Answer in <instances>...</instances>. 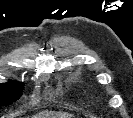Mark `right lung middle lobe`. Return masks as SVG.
I'll use <instances>...</instances> for the list:
<instances>
[{
    "label": "right lung middle lobe",
    "mask_w": 133,
    "mask_h": 118,
    "mask_svg": "<svg viewBox=\"0 0 133 118\" xmlns=\"http://www.w3.org/2000/svg\"><path fill=\"white\" fill-rule=\"evenodd\" d=\"M23 87V83L16 81L0 84V108L18 100L22 95Z\"/></svg>",
    "instance_id": "obj_1"
}]
</instances>
